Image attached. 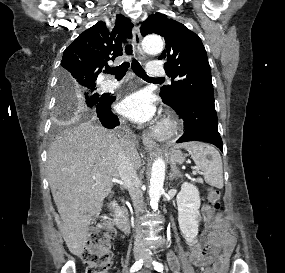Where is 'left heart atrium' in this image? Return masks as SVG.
Here are the masks:
<instances>
[{
  "label": "left heart atrium",
  "mask_w": 285,
  "mask_h": 273,
  "mask_svg": "<svg viewBox=\"0 0 285 273\" xmlns=\"http://www.w3.org/2000/svg\"><path fill=\"white\" fill-rule=\"evenodd\" d=\"M119 111L133 121L145 123L152 120L155 108L147 95L138 92L122 100Z\"/></svg>",
  "instance_id": "obj_1"
}]
</instances>
